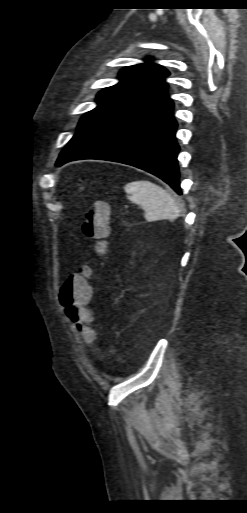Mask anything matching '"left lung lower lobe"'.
<instances>
[{"mask_svg":"<svg viewBox=\"0 0 247 513\" xmlns=\"http://www.w3.org/2000/svg\"><path fill=\"white\" fill-rule=\"evenodd\" d=\"M164 83L146 95L99 117L78 130L56 166L79 159L129 164L152 173L179 195V146L173 101Z\"/></svg>","mask_w":247,"mask_h":513,"instance_id":"obj_1","label":"left lung lower lobe"}]
</instances>
